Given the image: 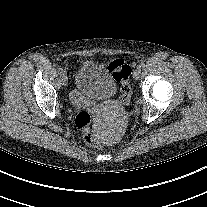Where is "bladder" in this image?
<instances>
[{
	"label": "bladder",
	"mask_w": 207,
	"mask_h": 207,
	"mask_svg": "<svg viewBox=\"0 0 207 207\" xmlns=\"http://www.w3.org/2000/svg\"><path fill=\"white\" fill-rule=\"evenodd\" d=\"M75 88L84 96L93 99L109 98L116 92V80L109 69L97 60H87L78 68Z\"/></svg>",
	"instance_id": "bladder-1"
}]
</instances>
